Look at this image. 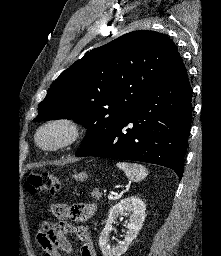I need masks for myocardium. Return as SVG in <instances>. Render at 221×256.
<instances>
[{
  "instance_id": "myocardium-1",
  "label": "myocardium",
  "mask_w": 221,
  "mask_h": 256,
  "mask_svg": "<svg viewBox=\"0 0 221 256\" xmlns=\"http://www.w3.org/2000/svg\"><path fill=\"white\" fill-rule=\"evenodd\" d=\"M51 130L62 132V138L52 144L42 141V135ZM84 126L82 122L72 116H57L42 123L36 130L34 139L36 144L47 151H58L75 144L83 135Z\"/></svg>"
}]
</instances>
